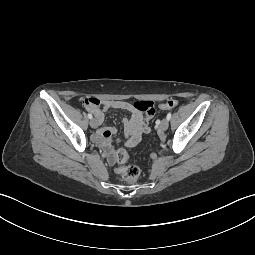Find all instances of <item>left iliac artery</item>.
Listing matches in <instances>:
<instances>
[{
	"mask_svg": "<svg viewBox=\"0 0 255 255\" xmlns=\"http://www.w3.org/2000/svg\"><path fill=\"white\" fill-rule=\"evenodd\" d=\"M171 116H172V114H171V112H169V113L167 114V117H166V118H167L168 120H170V119H171Z\"/></svg>",
	"mask_w": 255,
	"mask_h": 255,
	"instance_id": "44dca946",
	"label": "left iliac artery"
}]
</instances>
